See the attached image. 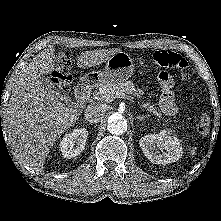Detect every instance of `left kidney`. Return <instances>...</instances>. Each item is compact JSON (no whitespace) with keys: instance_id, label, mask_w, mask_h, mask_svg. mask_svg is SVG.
<instances>
[{"instance_id":"left-kidney-1","label":"left kidney","mask_w":221,"mask_h":221,"mask_svg":"<svg viewBox=\"0 0 221 221\" xmlns=\"http://www.w3.org/2000/svg\"><path fill=\"white\" fill-rule=\"evenodd\" d=\"M144 155L154 164L166 165L179 160L183 153L179 139L171 132L148 134L139 140Z\"/></svg>"}]
</instances>
